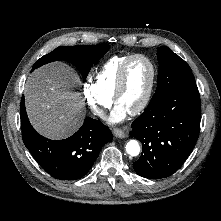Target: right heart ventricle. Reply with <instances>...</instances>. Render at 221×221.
Instances as JSON below:
<instances>
[{
  "instance_id": "obj_1",
  "label": "right heart ventricle",
  "mask_w": 221,
  "mask_h": 221,
  "mask_svg": "<svg viewBox=\"0 0 221 221\" xmlns=\"http://www.w3.org/2000/svg\"><path fill=\"white\" fill-rule=\"evenodd\" d=\"M131 55H114L96 71L94 84L107 97L113 98L120 70Z\"/></svg>"
}]
</instances>
